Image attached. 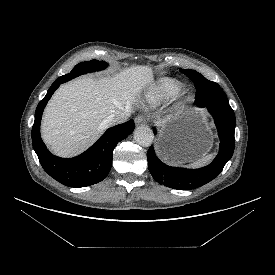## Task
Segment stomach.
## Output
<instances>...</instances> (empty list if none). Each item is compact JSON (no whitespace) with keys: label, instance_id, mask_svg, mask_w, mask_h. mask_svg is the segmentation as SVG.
Here are the masks:
<instances>
[{"label":"stomach","instance_id":"0dacf381","mask_svg":"<svg viewBox=\"0 0 275 275\" xmlns=\"http://www.w3.org/2000/svg\"><path fill=\"white\" fill-rule=\"evenodd\" d=\"M159 155L166 161H192L212 147L213 136L205 112L188 109L160 120Z\"/></svg>","mask_w":275,"mask_h":275}]
</instances>
